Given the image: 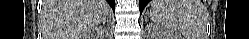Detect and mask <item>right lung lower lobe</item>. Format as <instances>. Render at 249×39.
Masks as SVG:
<instances>
[{
  "mask_svg": "<svg viewBox=\"0 0 249 39\" xmlns=\"http://www.w3.org/2000/svg\"><path fill=\"white\" fill-rule=\"evenodd\" d=\"M112 9L115 11V0H107Z\"/></svg>",
  "mask_w": 249,
  "mask_h": 39,
  "instance_id": "right-lung-lower-lobe-1",
  "label": "right lung lower lobe"
}]
</instances>
